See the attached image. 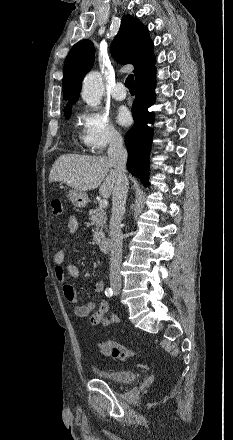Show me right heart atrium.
<instances>
[{
  "mask_svg": "<svg viewBox=\"0 0 233 440\" xmlns=\"http://www.w3.org/2000/svg\"><path fill=\"white\" fill-rule=\"evenodd\" d=\"M78 120L81 143L90 153L100 154L121 141L120 132L101 110L85 107L78 115Z\"/></svg>",
  "mask_w": 233,
  "mask_h": 440,
  "instance_id": "1",
  "label": "right heart atrium"
}]
</instances>
